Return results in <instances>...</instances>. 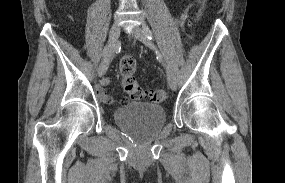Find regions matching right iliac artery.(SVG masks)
<instances>
[{
	"label": "right iliac artery",
	"instance_id": "right-iliac-artery-1",
	"mask_svg": "<svg viewBox=\"0 0 285 183\" xmlns=\"http://www.w3.org/2000/svg\"><path fill=\"white\" fill-rule=\"evenodd\" d=\"M106 53H107V47L104 49V51H103V55L105 56V55H106Z\"/></svg>",
	"mask_w": 285,
	"mask_h": 183
}]
</instances>
